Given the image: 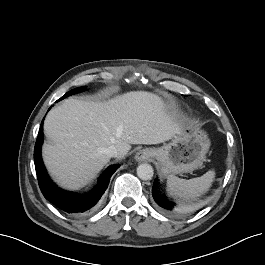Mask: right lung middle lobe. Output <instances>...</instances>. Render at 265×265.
<instances>
[{
    "mask_svg": "<svg viewBox=\"0 0 265 265\" xmlns=\"http://www.w3.org/2000/svg\"><path fill=\"white\" fill-rule=\"evenodd\" d=\"M84 90H85V86H83V87H79V88H76V89H73V90L67 92V93H66L62 98H60L59 100H62V99L66 98V97H68V96H70V95H73V94H77V93H79V92H82V91H84Z\"/></svg>",
    "mask_w": 265,
    "mask_h": 265,
    "instance_id": "1",
    "label": "right lung middle lobe"
}]
</instances>
